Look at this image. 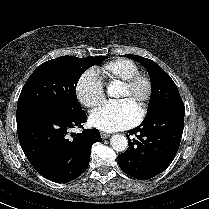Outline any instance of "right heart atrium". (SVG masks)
Here are the masks:
<instances>
[{"instance_id": "obj_1", "label": "right heart atrium", "mask_w": 209, "mask_h": 209, "mask_svg": "<svg viewBox=\"0 0 209 209\" xmlns=\"http://www.w3.org/2000/svg\"><path fill=\"white\" fill-rule=\"evenodd\" d=\"M79 102L88 109H94L105 99L104 84L93 70L85 71L75 86Z\"/></svg>"}]
</instances>
